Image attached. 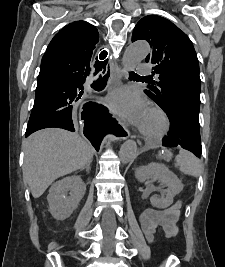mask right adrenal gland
Masks as SVG:
<instances>
[{
    "mask_svg": "<svg viewBox=\"0 0 225 267\" xmlns=\"http://www.w3.org/2000/svg\"><path fill=\"white\" fill-rule=\"evenodd\" d=\"M91 163V162H90ZM90 163H88L82 170H86V172L87 173H89L90 172V169H91V167H90Z\"/></svg>",
    "mask_w": 225,
    "mask_h": 267,
    "instance_id": "right-adrenal-gland-1",
    "label": "right adrenal gland"
}]
</instances>
